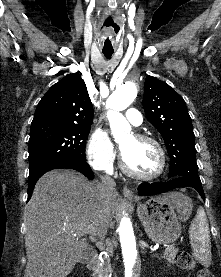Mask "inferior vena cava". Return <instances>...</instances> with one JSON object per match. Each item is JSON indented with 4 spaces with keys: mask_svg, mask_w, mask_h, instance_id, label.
Returning a JSON list of instances; mask_svg holds the SVG:
<instances>
[{
    "mask_svg": "<svg viewBox=\"0 0 221 277\" xmlns=\"http://www.w3.org/2000/svg\"><path fill=\"white\" fill-rule=\"evenodd\" d=\"M101 195L106 198L115 191L116 183L110 176H100Z\"/></svg>",
    "mask_w": 221,
    "mask_h": 277,
    "instance_id": "inferior-vena-cava-1",
    "label": "inferior vena cava"
}]
</instances>
